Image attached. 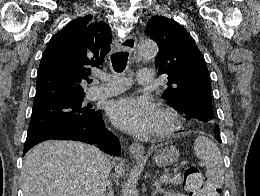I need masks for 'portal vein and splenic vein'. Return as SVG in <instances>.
<instances>
[{
    "instance_id": "18ae733b",
    "label": "portal vein and splenic vein",
    "mask_w": 260,
    "mask_h": 196,
    "mask_svg": "<svg viewBox=\"0 0 260 196\" xmlns=\"http://www.w3.org/2000/svg\"><path fill=\"white\" fill-rule=\"evenodd\" d=\"M182 166L183 164H186V162H181ZM181 168V166H180ZM167 180H169V176H165V175H162L161 176V182H167Z\"/></svg>"
}]
</instances>
